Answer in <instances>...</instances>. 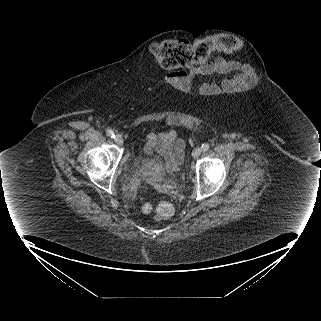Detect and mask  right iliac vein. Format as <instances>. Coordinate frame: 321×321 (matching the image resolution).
I'll return each mask as SVG.
<instances>
[{"label":"right iliac vein","instance_id":"obj_1","mask_svg":"<svg viewBox=\"0 0 321 321\" xmlns=\"http://www.w3.org/2000/svg\"><path fill=\"white\" fill-rule=\"evenodd\" d=\"M114 140H115V142H116L119 146H122L123 143H124L123 138H122L120 135H116V136L114 137Z\"/></svg>","mask_w":321,"mask_h":321}]
</instances>
